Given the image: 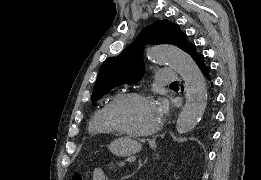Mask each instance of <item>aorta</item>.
Returning <instances> with one entry per match:
<instances>
[{"label":"aorta","instance_id":"1","mask_svg":"<svg viewBox=\"0 0 261 180\" xmlns=\"http://www.w3.org/2000/svg\"><path fill=\"white\" fill-rule=\"evenodd\" d=\"M153 62L168 64L183 79L186 103L176 123L178 133L191 131L201 120L207 105L205 78L195 61L184 51L169 45L155 46L147 50Z\"/></svg>","mask_w":261,"mask_h":180}]
</instances>
